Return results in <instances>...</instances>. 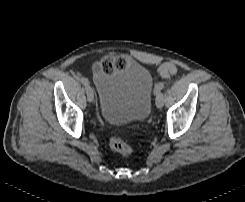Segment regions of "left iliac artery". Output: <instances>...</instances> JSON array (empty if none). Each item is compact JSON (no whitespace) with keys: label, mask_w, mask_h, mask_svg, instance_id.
I'll return each instance as SVG.
<instances>
[{"label":"left iliac artery","mask_w":245,"mask_h":202,"mask_svg":"<svg viewBox=\"0 0 245 202\" xmlns=\"http://www.w3.org/2000/svg\"><path fill=\"white\" fill-rule=\"evenodd\" d=\"M164 83H159L155 87V96L156 98L159 97L162 94V89L164 88Z\"/></svg>","instance_id":"44dca946"}]
</instances>
